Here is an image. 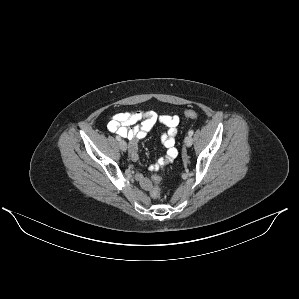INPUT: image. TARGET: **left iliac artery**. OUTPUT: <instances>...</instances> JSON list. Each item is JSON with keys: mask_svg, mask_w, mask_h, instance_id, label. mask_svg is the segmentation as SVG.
I'll return each instance as SVG.
<instances>
[{"mask_svg": "<svg viewBox=\"0 0 299 299\" xmlns=\"http://www.w3.org/2000/svg\"><path fill=\"white\" fill-rule=\"evenodd\" d=\"M193 133H194V131H193V130H190V131L188 132V134H189L190 136H192V135H193Z\"/></svg>", "mask_w": 299, "mask_h": 299, "instance_id": "44dca946", "label": "left iliac artery"}]
</instances>
